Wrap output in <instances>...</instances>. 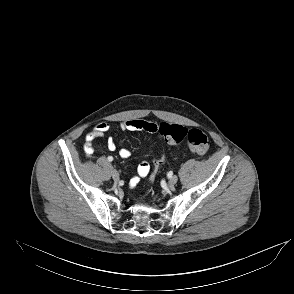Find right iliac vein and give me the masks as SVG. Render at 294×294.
<instances>
[{"label": "right iliac vein", "mask_w": 294, "mask_h": 294, "mask_svg": "<svg viewBox=\"0 0 294 294\" xmlns=\"http://www.w3.org/2000/svg\"><path fill=\"white\" fill-rule=\"evenodd\" d=\"M112 178L115 182H118L120 180V175L116 170L112 171Z\"/></svg>", "instance_id": "obj_1"}]
</instances>
